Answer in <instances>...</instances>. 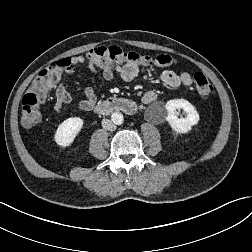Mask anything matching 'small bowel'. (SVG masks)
Returning a JSON list of instances; mask_svg holds the SVG:
<instances>
[{"instance_id":"c3829d8e","label":"small bowel","mask_w":252,"mask_h":252,"mask_svg":"<svg viewBox=\"0 0 252 252\" xmlns=\"http://www.w3.org/2000/svg\"><path fill=\"white\" fill-rule=\"evenodd\" d=\"M71 66L65 72L71 74L74 72V65H86L87 69L91 72H96L97 68L92 60L85 61L83 56H75L70 59ZM118 75L125 82L132 81L140 72V67L136 64L126 67H118L116 69ZM102 76L106 81H111L114 77V70L111 67H104L102 69ZM161 81L169 88H178L180 86L189 87L193 83L192 76L188 72L176 73L171 70H164L160 74ZM50 89L55 92V109L58 112H63L66 107L73 102L71 94L66 89L65 85L60 83L53 85ZM84 99L79 102L81 109L87 110L89 107L96 104L97 96L92 87H86L83 90ZM157 99V94L153 90L144 93L142 101L145 104H151Z\"/></svg>"}]
</instances>
